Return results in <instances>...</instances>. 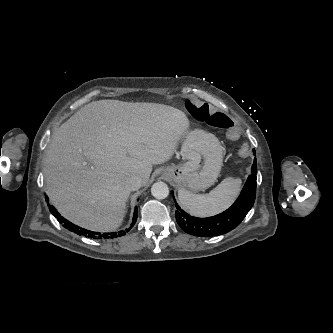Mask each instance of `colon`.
<instances>
[{
    "mask_svg": "<svg viewBox=\"0 0 333 333\" xmlns=\"http://www.w3.org/2000/svg\"><path fill=\"white\" fill-rule=\"evenodd\" d=\"M187 108L192 116L199 121L205 122L215 128L225 129L227 131L230 129L235 130L230 117L222 112L211 109L208 104L188 101Z\"/></svg>",
    "mask_w": 333,
    "mask_h": 333,
    "instance_id": "1",
    "label": "colon"
}]
</instances>
